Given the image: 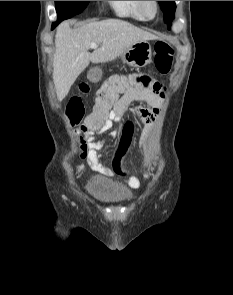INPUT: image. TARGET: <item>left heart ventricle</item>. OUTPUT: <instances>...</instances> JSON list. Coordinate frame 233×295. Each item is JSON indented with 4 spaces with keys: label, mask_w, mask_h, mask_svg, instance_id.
Masks as SVG:
<instances>
[{
    "label": "left heart ventricle",
    "mask_w": 233,
    "mask_h": 295,
    "mask_svg": "<svg viewBox=\"0 0 233 295\" xmlns=\"http://www.w3.org/2000/svg\"><path fill=\"white\" fill-rule=\"evenodd\" d=\"M145 10L148 15H153L154 14V6L151 1H145Z\"/></svg>",
    "instance_id": "left-heart-ventricle-1"
}]
</instances>
